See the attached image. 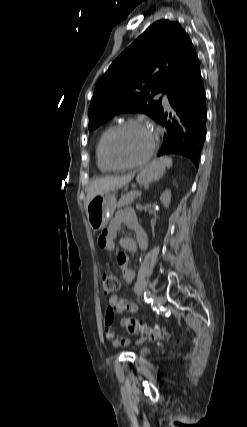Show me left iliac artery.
Masks as SVG:
<instances>
[{"label": "left iliac artery", "mask_w": 247, "mask_h": 427, "mask_svg": "<svg viewBox=\"0 0 247 427\" xmlns=\"http://www.w3.org/2000/svg\"><path fill=\"white\" fill-rule=\"evenodd\" d=\"M144 299L147 303L153 302L152 294L149 291L144 293Z\"/></svg>", "instance_id": "left-iliac-artery-1"}]
</instances>
